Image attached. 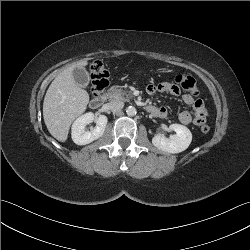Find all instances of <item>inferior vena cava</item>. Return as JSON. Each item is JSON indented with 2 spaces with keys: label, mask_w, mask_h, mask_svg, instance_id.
<instances>
[{
  "label": "inferior vena cava",
  "mask_w": 250,
  "mask_h": 250,
  "mask_svg": "<svg viewBox=\"0 0 250 250\" xmlns=\"http://www.w3.org/2000/svg\"><path fill=\"white\" fill-rule=\"evenodd\" d=\"M107 107L112 112H118L124 107V103L120 101H114V102L107 103Z\"/></svg>",
  "instance_id": "602c4592"
}]
</instances>
